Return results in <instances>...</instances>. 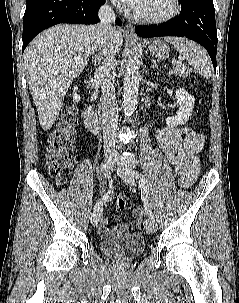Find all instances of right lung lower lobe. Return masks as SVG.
Here are the masks:
<instances>
[{
  "label": "right lung lower lobe",
  "mask_w": 239,
  "mask_h": 303,
  "mask_svg": "<svg viewBox=\"0 0 239 303\" xmlns=\"http://www.w3.org/2000/svg\"><path fill=\"white\" fill-rule=\"evenodd\" d=\"M105 0H27L23 17V47L41 31L59 23L95 24ZM116 24L121 26L118 18Z\"/></svg>",
  "instance_id": "obj_1"
}]
</instances>
